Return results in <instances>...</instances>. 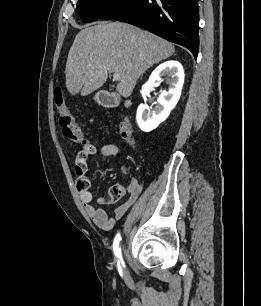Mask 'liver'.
I'll return each mask as SVG.
<instances>
[{
	"instance_id": "obj_1",
	"label": "liver",
	"mask_w": 261,
	"mask_h": 306,
	"mask_svg": "<svg viewBox=\"0 0 261 306\" xmlns=\"http://www.w3.org/2000/svg\"><path fill=\"white\" fill-rule=\"evenodd\" d=\"M175 51L168 41L138 27L99 23L75 37L66 62V87L71 95H89L107 80L108 72L121 76L117 92L127 98L139 77Z\"/></svg>"
}]
</instances>
